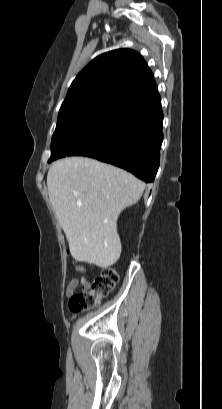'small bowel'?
Returning a JSON list of instances; mask_svg holds the SVG:
<instances>
[{"label": "small bowel", "mask_w": 222, "mask_h": 409, "mask_svg": "<svg viewBox=\"0 0 222 409\" xmlns=\"http://www.w3.org/2000/svg\"><path fill=\"white\" fill-rule=\"evenodd\" d=\"M90 287V281L84 277L72 278L66 287V295L70 296L74 291L79 288L82 291L87 290Z\"/></svg>", "instance_id": "small-bowel-1"}]
</instances>
